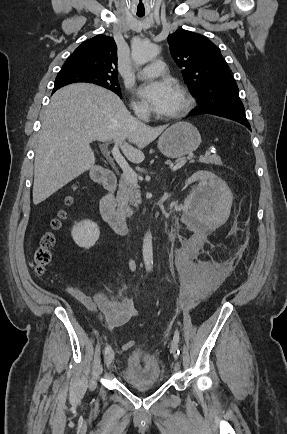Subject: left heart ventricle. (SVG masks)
Returning <instances> with one entry per match:
<instances>
[{"label": "left heart ventricle", "instance_id": "left-heart-ventricle-1", "mask_svg": "<svg viewBox=\"0 0 287 434\" xmlns=\"http://www.w3.org/2000/svg\"><path fill=\"white\" fill-rule=\"evenodd\" d=\"M182 105H183V99L177 90L176 96L172 102V105H171L170 109L165 114H170V113H174V112L178 111L182 107Z\"/></svg>", "mask_w": 287, "mask_h": 434}]
</instances>
